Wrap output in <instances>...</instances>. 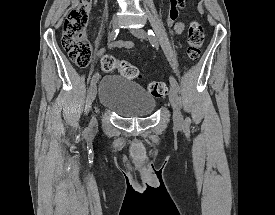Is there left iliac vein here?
Returning a JSON list of instances; mask_svg holds the SVG:
<instances>
[{
    "label": "left iliac vein",
    "mask_w": 275,
    "mask_h": 215,
    "mask_svg": "<svg viewBox=\"0 0 275 215\" xmlns=\"http://www.w3.org/2000/svg\"><path fill=\"white\" fill-rule=\"evenodd\" d=\"M131 33L140 39L146 38V32L142 28H132ZM169 101L173 107V122L176 128H181L183 126V117L179 107V100L177 95V90L174 87H170L169 91Z\"/></svg>",
    "instance_id": "4c4485c4"
}]
</instances>
